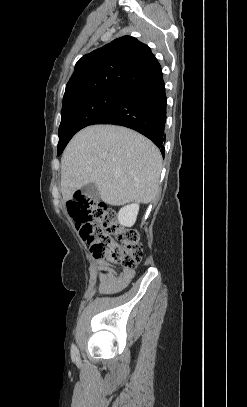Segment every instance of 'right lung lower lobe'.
<instances>
[{"mask_svg":"<svg viewBox=\"0 0 247 407\" xmlns=\"http://www.w3.org/2000/svg\"><path fill=\"white\" fill-rule=\"evenodd\" d=\"M166 90L162 73L134 90L93 124H115L138 131L164 154Z\"/></svg>","mask_w":247,"mask_h":407,"instance_id":"1","label":"right lung lower lobe"}]
</instances>
